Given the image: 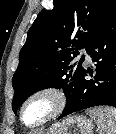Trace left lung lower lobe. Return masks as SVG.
Returning a JSON list of instances; mask_svg holds the SVG:
<instances>
[{"label": "left lung lower lobe", "instance_id": "0a47b994", "mask_svg": "<svg viewBox=\"0 0 116 134\" xmlns=\"http://www.w3.org/2000/svg\"><path fill=\"white\" fill-rule=\"evenodd\" d=\"M86 51L96 62V69L94 72L83 69L76 94L66 103L59 118L96 106L116 108V4L110 9ZM88 74L92 79H85Z\"/></svg>", "mask_w": 116, "mask_h": 134}]
</instances>
